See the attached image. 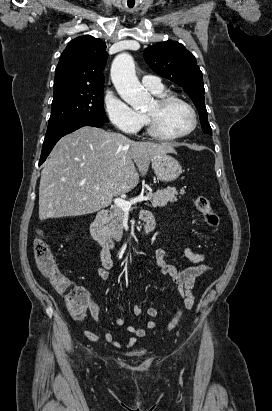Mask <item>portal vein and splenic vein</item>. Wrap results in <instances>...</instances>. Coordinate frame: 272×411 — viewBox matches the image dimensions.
Masks as SVG:
<instances>
[{"mask_svg":"<svg viewBox=\"0 0 272 411\" xmlns=\"http://www.w3.org/2000/svg\"><path fill=\"white\" fill-rule=\"evenodd\" d=\"M96 189H99V187L97 186ZM150 199V197L146 196H138L130 201L124 200L122 198H115L114 204L123 210H130L132 205L136 204L137 202L147 201Z\"/></svg>","mask_w":272,"mask_h":411,"instance_id":"obj_1","label":"portal vein and splenic vein"}]
</instances>
